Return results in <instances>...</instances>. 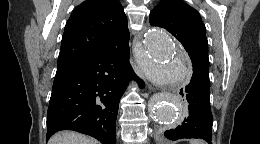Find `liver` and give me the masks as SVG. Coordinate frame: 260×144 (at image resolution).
Instances as JSON below:
<instances>
[{"label":"liver","instance_id":"1","mask_svg":"<svg viewBox=\"0 0 260 144\" xmlns=\"http://www.w3.org/2000/svg\"><path fill=\"white\" fill-rule=\"evenodd\" d=\"M48 144H97V141L73 131H63L53 135Z\"/></svg>","mask_w":260,"mask_h":144}]
</instances>
